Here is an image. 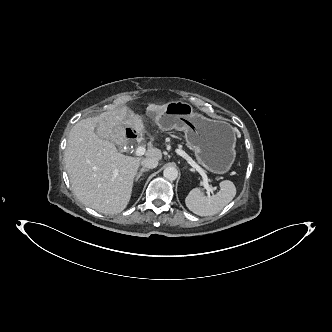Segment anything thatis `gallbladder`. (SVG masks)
I'll return each mask as SVG.
<instances>
[{"instance_id":"gallbladder-1","label":"gallbladder","mask_w":332,"mask_h":332,"mask_svg":"<svg viewBox=\"0 0 332 332\" xmlns=\"http://www.w3.org/2000/svg\"><path fill=\"white\" fill-rule=\"evenodd\" d=\"M97 133H98L99 137H101V138L107 137V135L104 132L100 131V127L97 128Z\"/></svg>"}]
</instances>
